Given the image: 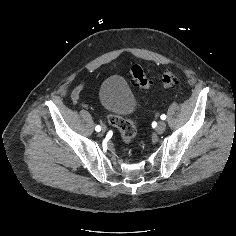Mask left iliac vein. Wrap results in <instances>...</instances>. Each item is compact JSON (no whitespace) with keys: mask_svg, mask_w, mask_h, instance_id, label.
Segmentation results:
<instances>
[{"mask_svg":"<svg viewBox=\"0 0 236 236\" xmlns=\"http://www.w3.org/2000/svg\"><path fill=\"white\" fill-rule=\"evenodd\" d=\"M166 129V123L164 121H160L158 124H157V127H156V132L158 134H162Z\"/></svg>","mask_w":236,"mask_h":236,"instance_id":"left-iliac-vein-1","label":"left iliac vein"}]
</instances>
